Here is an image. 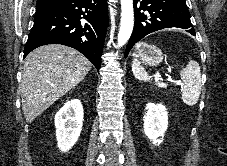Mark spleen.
Instances as JSON below:
<instances>
[{"instance_id":"obj_1","label":"spleen","mask_w":227,"mask_h":166,"mask_svg":"<svg viewBox=\"0 0 227 166\" xmlns=\"http://www.w3.org/2000/svg\"><path fill=\"white\" fill-rule=\"evenodd\" d=\"M133 56L136 57V54L133 53ZM132 72L138 80H149L148 73L140 66L137 59H134L132 62ZM180 77L184 83V86L181 88L182 101L188 106H193L197 103L201 93V73L199 64L194 60H190L187 66L180 72Z\"/></svg>"}]
</instances>
